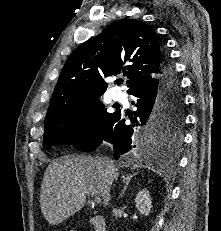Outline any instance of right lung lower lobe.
I'll return each instance as SVG.
<instances>
[{
  "mask_svg": "<svg viewBox=\"0 0 221 231\" xmlns=\"http://www.w3.org/2000/svg\"><path fill=\"white\" fill-rule=\"evenodd\" d=\"M161 71L162 74L157 81L129 93L137 98L136 106L138 108L134 112L135 118L131 119L132 125H126L124 117L117 111L103 132L76 149L91 152L99 146L102 140H105L113 144L115 159H118L120 154L130 150L145 158L163 153L165 145L149 138L144 131V127L148 124L161 96H167L180 101L182 104L184 103L175 68L164 49Z\"/></svg>",
  "mask_w": 221,
  "mask_h": 231,
  "instance_id": "1",
  "label": "right lung lower lobe"
}]
</instances>
